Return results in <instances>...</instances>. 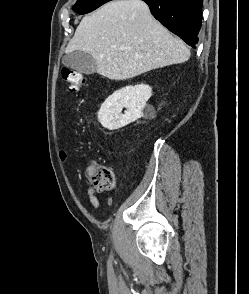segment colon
I'll use <instances>...</instances> for the list:
<instances>
[{"label": "colon", "mask_w": 249, "mask_h": 294, "mask_svg": "<svg viewBox=\"0 0 249 294\" xmlns=\"http://www.w3.org/2000/svg\"><path fill=\"white\" fill-rule=\"evenodd\" d=\"M62 77L71 91H77L85 83L84 75L68 67L62 69ZM87 182L96 190L111 191L115 187V174L111 167L97 165L85 171Z\"/></svg>", "instance_id": "obj_1"}]
</instances>
